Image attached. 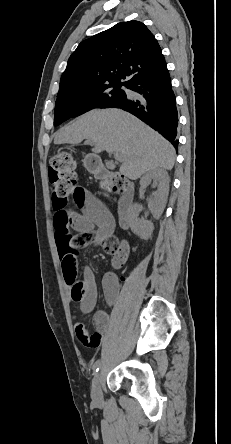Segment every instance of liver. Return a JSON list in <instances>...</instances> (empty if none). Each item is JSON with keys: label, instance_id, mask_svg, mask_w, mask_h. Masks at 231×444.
<instances>
[{"label": "liver", "instance_id": "1", "mask_svg": "<svg viewBox=\"0 0 231 444\" xmlns=\"http://www.w3.org/2000/svg\"><path fill=\"white\" fill-rule=\"evenodd\" d=\"M84 139L94 143L92 152L119 153L120 173L136 180L144 173L171 170L175 149L165 138L121 109L92 110L56 132L55 144H80Z\"/></svg>", "mask_w": 231, "mask_h": 444}]
</instances>
